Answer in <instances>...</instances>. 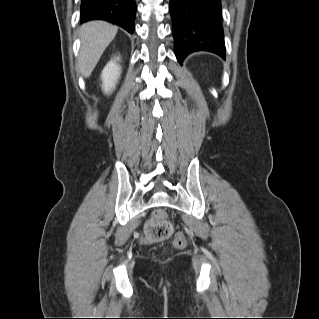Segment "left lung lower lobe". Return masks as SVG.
<instances>
[{
    "label": "left lung lower lobe",
    "mask_w": 319,
    "mask_h": 319,
    "mask_svg": "<svg viewBox=\"0 0 319 319\" xmlns=\"http://www.w3.org/2000/svg\"><path fill=\"white\" fill-rule=\"evenodd\" d=\"M169 10L180 64L195 51L212 52L225 59L221 0H170Z\"/></svg>",
    "instance_id": "obj_1"
}]
</instances>
